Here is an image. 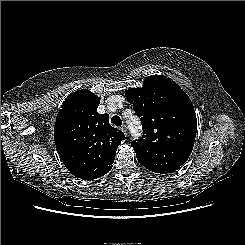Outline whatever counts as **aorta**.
Listing matches in <instances>:
<instances>
[{
    "label": "aorta",
    "instance_id": "obj_1",
    "mask_svg": "<svg viewBox=\"0 0 245 245\" xmlns=\"http://www.w3.org/2000/svg\"><path fill=\"white\" fill-rule=\"evenodd\" d=\"M128 124L130 126V129H131L133 135H139L138 134V130H137L138 129V124H139L138 119L133 117V118H131L128 121Z\"/></svg>",
    "mask_w": 245,
    "mask_h": 245
}]
</instances>
